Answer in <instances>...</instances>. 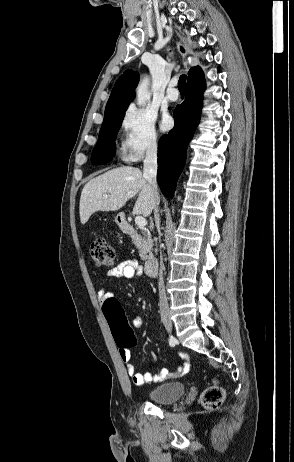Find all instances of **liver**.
<instances>
[{
  "label": "liver",
  "mask_w": 294,
  "mask_h": 462,
  "mask_svg": "<svg viewBox=\"0 0 294 462\" xmlns=\"http://www.w3.org/2000/svg\"><path fill=\"white\" fill-rule=\"evenodd\" d=\"M138 194L134 214L147 217L154 209L151 187L142 172L135 167H120L91 179L80 197V221L85 224L97 211H116ZM107 195V198H104Z\"/></svg>",
  "instance_id": "obj_1"
}]
</instances>
